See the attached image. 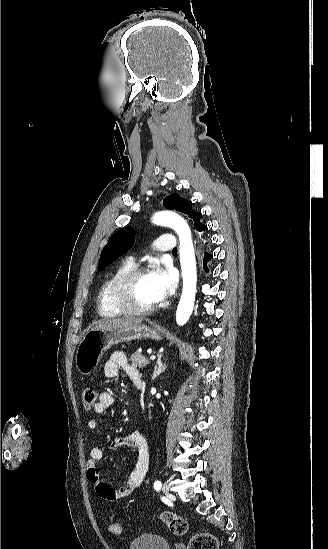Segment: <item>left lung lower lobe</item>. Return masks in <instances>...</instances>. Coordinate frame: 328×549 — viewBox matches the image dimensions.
I'll return each instance as SVG.
<instances>
[{
    "label": "left lung lower lobe",
    "instance_id": "obj_1",
    "mask_svg": "<svg viewBox=\"0 0 328 549\" xmlns=\"http://www.w3.org/2000/svg\"><path fill=\"white\" fill-rule=\"evenodd\" d=\"M212 258V254H209L207 252L204 253V269L206 270V272H208V268L206 266L207 262L210 261Z\"/></svg>",
    "mask_w": 328,
    "mask_h": 549
}]
</instances>
